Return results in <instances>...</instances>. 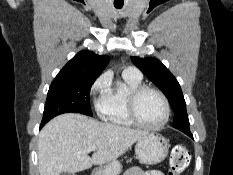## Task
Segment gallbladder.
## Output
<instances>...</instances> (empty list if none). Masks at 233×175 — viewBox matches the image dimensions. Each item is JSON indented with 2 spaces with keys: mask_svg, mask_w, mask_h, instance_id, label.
Masks as SVG:
<instances>
[{
  "mask_svg": "<svg viewBox=\"0 0 233 175\" xmlns=\"http://www.w3.org/2000/svg\"><path fill=\"white\" fill-rule=\"evenodd\" d=\"M61 175H74V174H71V173H68V172H64V173H61Z\"/></svg>",
  "mask_w": 233,
  "mask_h": 175,
  "instance_id": "gallbladder-1",
  "label": "gallbladder"
}]
</instances>
